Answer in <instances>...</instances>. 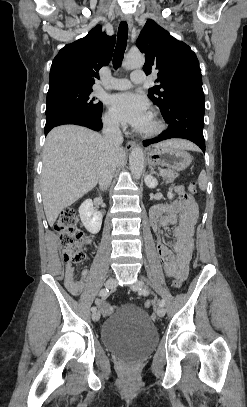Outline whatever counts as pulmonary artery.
Instances as JSON below:
<instances>
[{"label":"pulmonary artery","instance_id":"e3ab8cb5","mask_svg":"<svg viewBox=\"0 0 247 407\" xmlns=\"http://www.w3.org/2000/svg\"><path fill=\"white\" fill-rule=\"evenodd\" d=\"M145 74L142 70H136L132 73L130 79L115 78L109 82V87L115 90H124L132 86V83L139 84L145 82Z\"/></svg>","mask_w":247,"mask_h":407}]
</instances>
